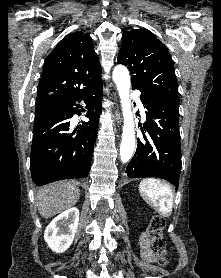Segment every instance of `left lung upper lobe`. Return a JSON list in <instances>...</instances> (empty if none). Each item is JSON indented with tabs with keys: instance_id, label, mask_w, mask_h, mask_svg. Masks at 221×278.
Masks as SVG:
<instances>
[{
	"instance_id": "left-lung-upper-lobe-1",
	"label": "left lung upper lobe",
	"mask_w": 221,
	"mask_h": 278,
	"mask_svg": "<svg viewBox=\"0 0 221 278\" xmlns=\"http://www.w3.org/2000/svg\"><path fill=\"white\" fill-rule=\"evenodd\" d=\"M117 63L128 66L132 86L179 105L172 59L153 33L145 29L126 31Z\"/></svg>"
}]
</instances>
